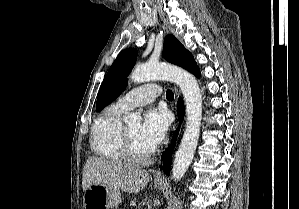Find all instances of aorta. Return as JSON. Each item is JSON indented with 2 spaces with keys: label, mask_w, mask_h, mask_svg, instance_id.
Instances as JSON below:
<instances>
[{
  "label": "aorta",
  "mask_w": 299,
  "mask_h": 209,
  "mask_svg": "<svg viewBox=\"0 0 299 209\" xmlns=\"http://www.w3.org/2000/svg\"><path fill=\"white\" fill-rule=\"evenodd\" d=\"M161 79L176 83L182 91L186 104V128L172 167L173 180L178 182L189 168L197 148L202 120V94L196 78L177 66L146 63L137 65L131 73V80L134 83ZM124 121L128 125L140 124L141 116L130 113Z\"/></svg>",
  "instance_id": "762f6f07"
}]
</instances>
